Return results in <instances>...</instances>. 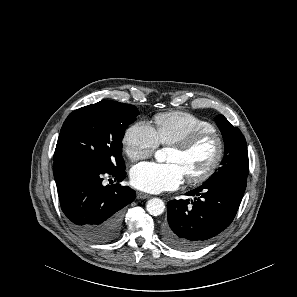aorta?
I'll list each match as a JSON object with an SVG mask.
<instances>
[{
	"label": "aorta",
	"instance_id": "obj_1",
	"mask_svg": "<svg viewBox=\"0 0 297 297\" xmlns=\"http://www.w3.org/2000/svg\"><path fill=\"white\" fill-rule=\"evenodd\" d=\"M155 158L157 161L162 162L165 160L164 150H158L155 153ZM146 209L150 215L158 216L164 212L165 205L164 202L159 198H152L146 204Z\"/></svg>",
	"mask_w": 297,
	"mask_h": 297
}]
</instances>
